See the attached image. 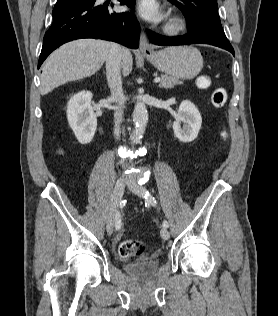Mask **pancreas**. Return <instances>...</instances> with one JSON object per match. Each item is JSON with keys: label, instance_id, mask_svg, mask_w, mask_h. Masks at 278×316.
<instances>
[{"label": "pancreas", "instance_id": "1", "mask_svg": "<svg viewBox=\"0 0 278 316\" xmlns=\"http://www.w3.org/2000/svg\"><path fill=\"white\" fill-rule=\"evenodd\" d=\"M179 84H182V81L179 80V78L173 77V76L162 75L159 87L170 89V88H173L175 85H179Z\"/></svg>", "mask_w": 278, "mask_h": 316}]
</instances>
